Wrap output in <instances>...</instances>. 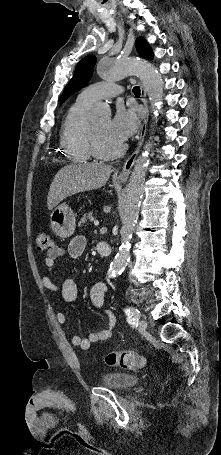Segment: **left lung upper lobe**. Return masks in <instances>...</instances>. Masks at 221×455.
Segmentation results:
<instances>
[{"label":"left lung upper lobe","mask_w":221,"mask_h":455,"mask_svg":"<svg viewBox=\"0 0 221 455\" xmlns=\"http://www.w3.org/2000/svg\"><path fill=\"white\" fill-rule=\"evenodd\" d=\"M136 49L139 55L143 58L149 60L153 58L152 49L143 37L137 38ZM95 63L96 57L94 55H89L77 64L75 73L62 94V102L88 83L92 76Z\"/></svg>","instance_id":"1"}]
</instances>
